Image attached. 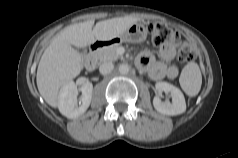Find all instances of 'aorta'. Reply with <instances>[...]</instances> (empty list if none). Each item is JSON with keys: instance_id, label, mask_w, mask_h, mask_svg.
Masks as SVG:
<instances>
[{"instance_id": "obj_1", "label": "aorta", "mask_w": 238, "mask_h": 158, "mask_svg": "<svg viewBox=\"0 0 238 158\" xmlns=\"http://www.w3.org/2000/svg\"><path fill=\"white\" fill-rule=\"evenodd\" d=\"M130 68L127 64H120L119 65V72L121 74H127L129 72Z\"/></svg>"}]
</instances>
